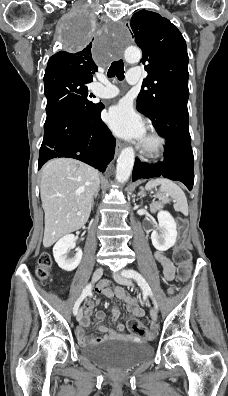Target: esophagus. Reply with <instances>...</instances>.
<instances>
[{
    "label": "esophagus",
    "instance_id": "esophagus-1",
    "mask_svg": "<svg viewBox=\"0 0 228 396\" xmlns=\"http://www.w3.org/2000/svg\"><path fill=\"white\" fill-rule=\"evenodd\" d=\"M122 147H123V144L121 142L117 141V143H116V154H118L120 152Z\"/></svg>",
    "mask_w": 228,
    "mask_h": 396
}]
</instances>
